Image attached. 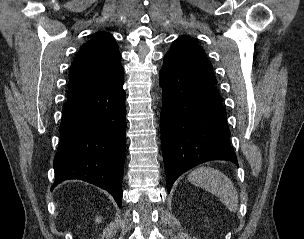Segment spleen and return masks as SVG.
Here are the masks:
<instances>
[{"instance_id": "obj_1", "label": "spleen", "mask_w": 304, "mask_h": 239, "mask_svg": "<svg viewBox=\"0 0 304 239\" xmlns=\"http://www.w3.org/2000/svg\"><path fill=\"white\" fill-rule=\"evenodd\" d=\"M188 180L212 193L231 212L238 210V193L231 180L223 173L210 167H200L188 175Z\"/></svg>"}]
</instances>
